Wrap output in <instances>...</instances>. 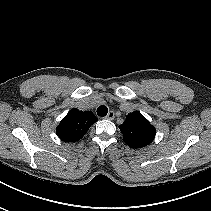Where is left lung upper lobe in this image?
Wrapping results in <instances>:
<instances>
[{"label": "left lung upper lobe", "instance_id": "5c2ea615", "mask_svg": "<svg viewBox=\"0 0 211 211\" xmlns=\"http://www.w3.org/2000/svg\"><path fill=\"white\" fill-rule=\"evenodd\" d=\"M119 128L124 142L134 149L149 145L155 137V128L138 111L128 114L125 122L119 125Z\"/></svg>", "mask_w": 211, "mask_h": 211}]
</instances>
